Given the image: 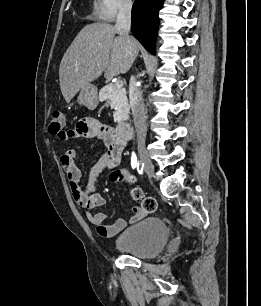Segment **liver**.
<instances>
[{"label":"liver","instance_id":"1","mask_svg":"<svg viewBox=\"0 0 261 306\" xmlns=\"http://www.w3.org/2000/svg\"><path fill=\"white\" fill-rule=\"evenodd\" d=\"M116 33L109 23H92L78 33L59 67L60 88L67 103L103 72L106 79H111L130 69L139 53V43Z\"/></svg>","mask_w":261,"mask_h":306}]
</instances>
